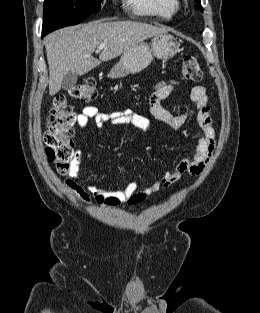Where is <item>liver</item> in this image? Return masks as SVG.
<instances>
[{
    "mask_svg": "<svg viewBox=\"0 0 260 313\" xmlns=\"http://www.w3.org/2000/svg\"><path fill=\"white\" fill-rule=\"evenodd\" d=\"M168 31L137 21H94L78 26L65 27L45 38L49 65V94L55 95L68 72L84 75L101 64L126 52L145 39ZM105 44L99 59L92 56Z\"/></svg>",
    "mask_w": 260,
    "mask_h": 313,
    "instance_id": "liver-1",
    "label": "liver"
}]
</instances>
